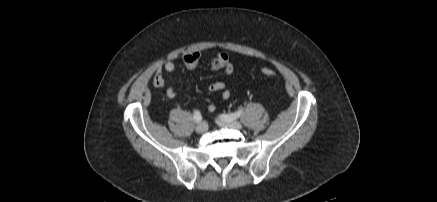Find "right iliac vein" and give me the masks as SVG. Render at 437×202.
Instances as JSON below:
<instances>
[{"mask_svg":"<svg viewBox=\"0 0 437 202\" xmlns=\"http://www.w3.org/2000/svg\"><path fill=\"white\" fill-rule=\"evenodd\" d=\"M208 129V125L206 122H200L196 125L195 130L197 133H204Z\"/></svg>","mask_w":437,"mask_h":202,"instance_id":"right-iliac-vein-1","label":"right iliac vein"}]
</instances>
